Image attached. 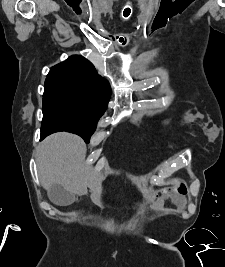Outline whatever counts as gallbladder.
Here are the masks:
<instances>
[{"instance_id":"gallbladder-1","label":"gallbladder","mask_w":225,"mask_h":267,"mask_svg":"<svg viewBox=\"0 0 225 267\" xmlns=\"http://www.w3.org/2000/svg\"><path fill=\"white\" fill-rule=\"evenodd\" d=\"M50 201L59 206H67L73 203L74 195L65 190L60 184H53L48 188Z\"/></svg>"}]
</instances>
